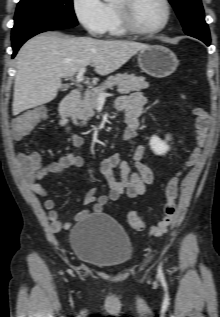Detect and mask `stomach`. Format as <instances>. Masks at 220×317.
Listing matches in <instances>:
<instances>
[{
	"label": "stomach",
	"mask_w": 220,
	"mask_h": 317,
	"mask_svg": "<svg viewBox=\"0 0 220 317\" xmlns=\"http://www.w3.org/2000/svg\"><path fill=\"white\" fill-rule=\"evenodd\" d=\"M138 63L142 71L156 78L171 75L178 66L176 55L162 45H149L138 53Z\"/></svg>",
	"instance_id": "1"
}]
</instances>
